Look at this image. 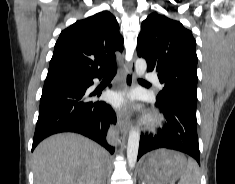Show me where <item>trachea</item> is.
I'll return each instance as SVG.
<instances>
[{"label": "trachea", "instance_id": "trachea-1", "mask_svg": "<svg viewBox=\"0 0 235 184\" xmlns=\"http://www.w3.org/2000/svg\"><path fill=\"white\" fill-rule=\"evenodd\" d=\"M115 73H116V71H111V72H109L107 75H106V77H114V75H115ZM141 81H142V79H140Z\"/></svg>", "mask_w": 235, "mask_h": 184}]
</instances>
